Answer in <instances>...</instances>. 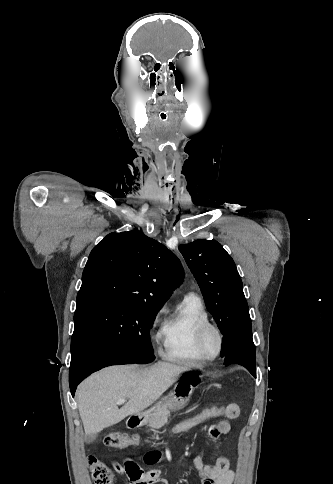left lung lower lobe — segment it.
Here are the masks:
<instances>
[{"instance_id": "obj_1", "label": "left lung lower lobe", "mask_w": 333, "mask_h": 484, "mask_svg": "<svg viewBox=\"0 0 333 484\" xmlns=\"http://www.w3.org/2000/svg\"><path fill=\"white\" fill-rule=\"evenodd\" d=\"M225 365L237 363L256 377L255 346L252 339L251 319L242 322L231 336L224 358Z\"/></svg>"}]
</instances>
